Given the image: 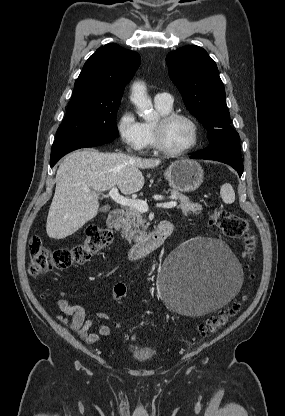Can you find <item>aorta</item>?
<instances>
[{
    "instance_id": "aorta-1",
    "label": "aorta",
    "mask_w": 285,
    "mask_h": 416,
    "mask_svg": "<svg viewBox=\"0 0 285 416\" xmlns=\"http://www.w3.org/2000/svg\"><path fill=\"white\" fill-rule=\"evenodd\" d=\"M131 101L145 120H153L156 117V113L152 109L151 99L147 95L146 87L143 83L137 82L133 84Z\"/></svg>"
}]
</instances>
